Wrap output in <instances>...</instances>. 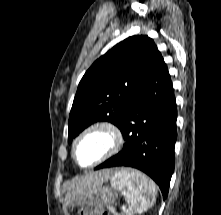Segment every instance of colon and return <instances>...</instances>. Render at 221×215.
<instances>
[{"mask_svg": "<svg viewBox=\"0 0 221 215\" xmlns=\"http://www.w3.org/2000/svg\"><path fill=\"white\" fill-rule=\"evenodd\" d=\"M79 215H110V214L99 208L84 207L80 210Z\"/></svg>", "mask_w": 221, "mask_h": 215, "instance_id": "obj_1", "label": "colon"}]
</instances>
